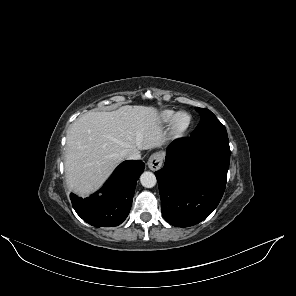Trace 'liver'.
I'll list each match as a JSON object with an SVG mask.
<instances>
[{"label": "liver", "instance_id": "liver-1", "mask_svg": "<svg viewBox=\"0 0 296 296\" xmlns=\"http://www.w3.org/2000/svg\"><path fill=\"white\" fill-rule=\"evenodd\" d=\"M163 144L158 111L126 105L112 112L90 111L67 133L65 175L68 187L84 196L98 189L123 161L124 150Z\"/></svg>", "mask_w": 296, "mask_h": 296}]
</instances>
